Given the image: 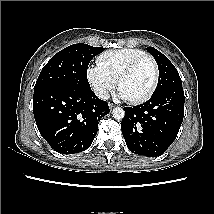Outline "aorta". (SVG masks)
<instances>
[{
	"mask_svg": "<svg viewBox=\"0 0 214 214\" xmlns=\"http://www.w3.org/2000/svg\"><path fill=\"white\" fill-rule=\"evenodd\" d=\"M124 115H125V112L120 107H116L112 110V116L117 120L123 119Z\"/></svg>",
	"mask_w": 214,
	"mask_h": 214,
	"instance_id": "obj_1",
	"label": "aorta"
}]
</instances>
